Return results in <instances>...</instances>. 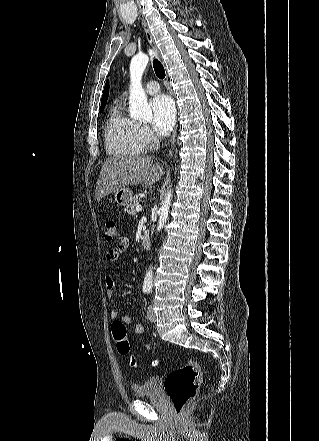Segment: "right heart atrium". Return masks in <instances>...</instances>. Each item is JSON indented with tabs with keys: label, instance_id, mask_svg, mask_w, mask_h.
I'll return each mask as SVG.
<instances>
[{
	"label": "right heart atrium",
	"instance_id": "d8ad5b80",
	"mask_svg": "<svg viewBox=\"0 0 319 441\" xmlns=\"http://www.w3.org/2000/svg\"><path fill=\"white\" fill-rule=\"evenodd\" d=\"M138 138L143 149L152 148L156 144V136L143 124H138Z\"/></svg>",
	"mask_w": 319,
	"mask_h": 441
}]
</instances>
